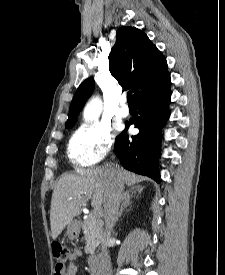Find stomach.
<instances>
[{"label": "stomach", "instance_id": "1", "mask_svg": "<svg viewBox=\"0 0 225 275\" xmlns=\"http://www.w3.org/2000/svg\"><path fill=\"white\" fill-rule=\"evenodd\" d=\"M66 234L69 239L73 240L78 237L79 234V223L76 221H72L67 226Z\"/></svg>", "mask_w": 225, "mask_h": 275}]
</instances>
